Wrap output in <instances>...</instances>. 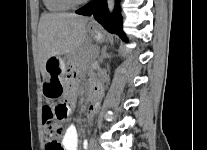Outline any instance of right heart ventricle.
<instances>
[{
    "mask_svg": "<svg viewBox=\"0 0 207 150\" xmlns=\"http://www.w3.org/2000/svg\"><path fill=\"white\" fill-rule=\"evenodd\" d=\"M43 3L48 11L54 13L65 12L71 8L66 0H43Z\"/></svg>",
    "mask_w": 207,
    "mask_h": 150,
    "instance_id": "right-heart-ventricle-1",
    "label": "right heart ventricle"
}]
</instances>
